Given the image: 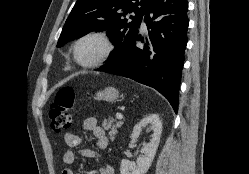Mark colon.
<instances>
[{"instance_id": "5ec220e1", "label": "colon", "mask_w": 249, "mask_h": 174, "mask_svg": "<svg viewBox=\"0 0 249 174\" xmlns=\"http://www.w3.org/2000/svg\"><path fill=\"white\" fill-rule=\"evenodd\" d=\"M75 104V91L71 87L61 88L49 111L51 129L62 132L71 126V112Z\"/></svg>"}]
</instances>
